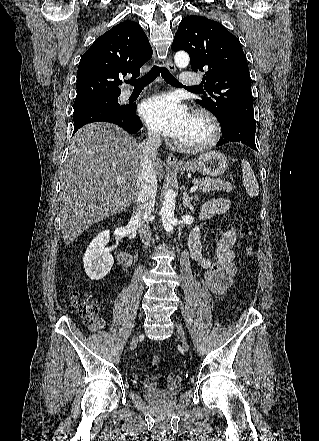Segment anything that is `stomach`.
I'll use <instances>...</instances> for the list:
<instances>
[{
	"mask_svg": "<svg viewBox=\"0 0 319 441\" xmlns=\"http://www.w3.org/2000/svg\"><path fill=\"white\" fill-rule=\"evenodd\" d=\"M228 168V159L225 155L217 151H208L196 159L185 163L184 166L174 168L184 172L200 171L211 177L222 175Z\"/></svg>",
	"mask_w": 319,
	"mask_h": 441,
	"instance_id": "stomach-1",
	"label": "stomach"
}]
</instances>
